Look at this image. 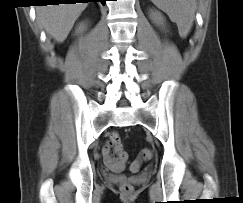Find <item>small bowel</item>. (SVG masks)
<instances>
[{
    "instance_id": "1",
    "label": "small bowel",
    "mask_w": 243,
    "mask_h": 203,
    "mask_svg": "<svg viewBox=\"0 0 243 203\" xmlns=\"http://www.w3.org/2000/svg\"><path fill=\"white\" fill-rule=\"evenodd\" d=\"M122 149L121 138L118 133H111L109 140L102 147V156L105 165L113 172L120 173L125 168V162L119 157V152ZM139 167V162H134L131 165L133 170Z\"/></svg>"
}]
</instances>
